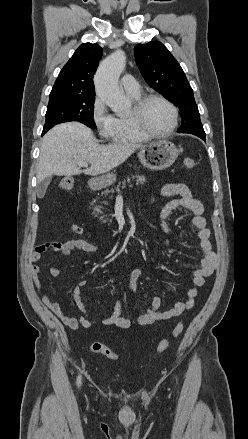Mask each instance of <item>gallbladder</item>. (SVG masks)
<instances>
[{
  "label": "gallbladder",
  "mask_w": 248,
  "mask_h": 439,
  "mask_svg": "<svg viewBox=\"0 0 248 439\" xmlns=\"http://www.w3.org/2000/svg\"><path fill=\"white\" fill-rule=\"evenodd\" d=\"M51 179H52L51 177H48V178L42 180L41 182L37 183L36 193H37L38 198L44 197L46 190H47V187L51 182Z\"/></svg>",
  "instance_id": "bac80fb5"
}]
</instances>
